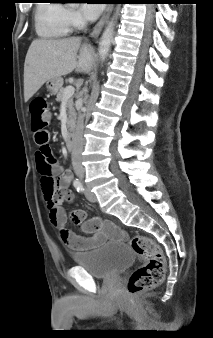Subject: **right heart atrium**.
<instances>
[{
  "mask_svg": "<svg viewBox=\"0 0 213 338\" xmlns=\"http://www.w3.org/2000/svg\"><path fill=\"white\" fill-rule=\"evenodd\" d=\"M63 19L70 28H80L85 24V20L81 13L71 8L64 9Z\"/></svg>",
  "mask_w": 213,
  "mask_h": 338,
  "instance_id": "1",
  "label": "right heart atrium"
}]
</instances>
